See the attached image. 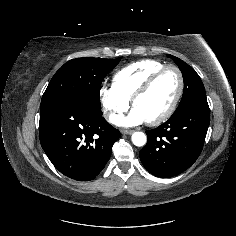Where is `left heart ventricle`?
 <instances>
[{"label": "left heart ventricle", "instance_id": "obj_1", "mask_svg": "<svg viewBox=\"0 0 236 236\" xmlns=\"http://www.w3.org/2000/svg\"><path fill=\"white\" fill-rule=\"evenodd\" d=\"M178 90V77L173 70L166 71L151 87L140 97L136 108L146 119L153 120L166 111L173 101Z\"/></svg>", "mask_w": 236, "mask_h": 236}]
</instances>
